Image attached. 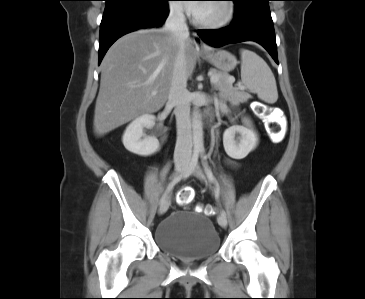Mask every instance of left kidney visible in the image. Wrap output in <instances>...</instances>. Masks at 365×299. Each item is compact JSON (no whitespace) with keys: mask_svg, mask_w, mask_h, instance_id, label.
Instances as JSON below:
<instances>
[{"mask_svg":"<svg viewBox=\"0 0 365 299\" xmlns=\"http://www.w3.org/2000/svg\"><path fill=\"white\" fill-rule=\"evenodd\" d=\"M243 122L244 126L234 125L223 134L224 149L233 159L245 158L258 144V136L251 128L249 120L244 118ZM236 134H240L237 139Z\"/></svg>","mask_w":365,"mask_h":299,"instance_id":"obj_1","label":"left kidney"}]
</instances>
